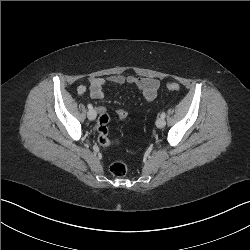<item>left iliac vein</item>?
<instances>
[{"label": "left iliac vein", "instance_id": "obj_1", "mask_svg": "<svg viewBox=\"0 0 250 250\" xmlns=\"http://www.w3.org/2000/svg\"><path fill=\"white\" fill-rule=\"evenodd\" d=\"M166 125V121L164 118H158L157 121H156V126L158 128H163L164 126Z\"/></svg>", "mask_w": 250, "mask_h": 250}]
</instances>
